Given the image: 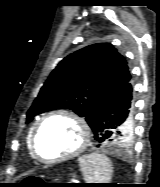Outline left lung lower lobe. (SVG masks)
Listing matches in <instances>:
<instances>
[{
    "mask_svg": "<svg viewBox=\"0 0 160 187\" xmlns=\"http://www.w3.org/2000/svg\"><path fill=\"white\" fill-rule=\"evenodd\" d=\"M124 124L127 125L125 131L120 132L119 128ZM131 127H133L132 85L129 80L103 103L92 130L98 147L129 149L130 147L124 148L122 145Z\"/></svg>",
    "mask_w": 160,
    "mask_h": 187,
    "instance_id": "0a47b994",
    "label": "left lung lower lobe"
}]
</instances>
